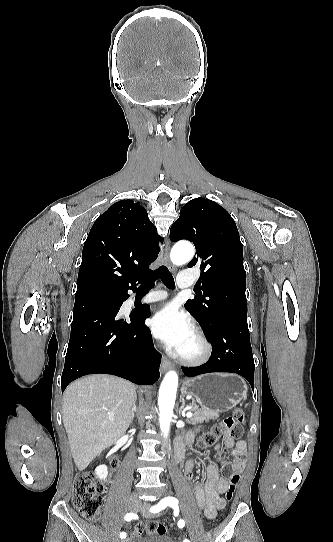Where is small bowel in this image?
<instances>
[{"label": "small bowel", "instance_id": "small-bowel-1", "mask_svg": "<svg viewBox=\"0 0 333 542\" xmlns=\"http://www.w3.org/2000/svg\"><path fill=\"white\" fill-rule=\"evenodd\" d=\"M200 428H196L190 433L193 437L200 432ZM186 443V442H185ZM224 446L232 450V456L234 459H243L246 454L247 444L244 440H233L226 438ZM215 451L218 452L217 463L209 462L207 464V479L204 483L197 482L195 484L194 494L198 507L204 511L206 518L213 519L216 517L217 511L223 508L225 500L222 495L226 492L231 484V480L228 481L219 474L218 464L225 461V456L221 452V445L215 446ZM194 469V461L188 460L185 465L184 477L189 480ZM141 535V527L139 524L132 528V531L127 539V542H137L138 537Z\"/></svg>", "mask_w": 333, "mask_h": 542}]
</instances>
